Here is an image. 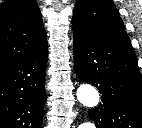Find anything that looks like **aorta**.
Wrapping results in <instances>:
<instances>
[{
  "label": "aorta",
  "mask_w": 142,
  "mask_h": 128,
  "mask_svg": "<svg viewBox=\"0 0 142 128\" xmlns=\"http://www.w3.org/2000/svg\"><path fill=\"white\" fill-rule=\"evenodd\" d=\"M76 96L78 101L85 107L94 108L99 104V93L89 84L80 85L77 89ZM80 128H95V126L90 122H86Z\"/></svg>",
  "instance_id": "1"
}]
</instances>
